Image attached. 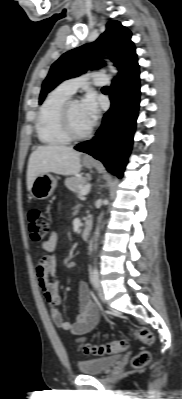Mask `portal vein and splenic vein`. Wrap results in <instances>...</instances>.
Returning <instances> with one entry per match:
<instances>
[{
	"label": "portal vein and splenic vein",
	"instance_id": "18ae733b",
	"mask_svg": "<svg viewBox=\"0 0 182 399\" xmlns=\"http://www.w3.org/2000/svg\"><path fill=\"white\" fill-rule=\"evenodd\" d=\"M90 188H91V184H87V185L83 186L81 188L80 195L81 196L87 195L89 193V191H90Z\"/></svg>",
	"mask_w": 182,
	"mask_h": 399
}]
</instances>
